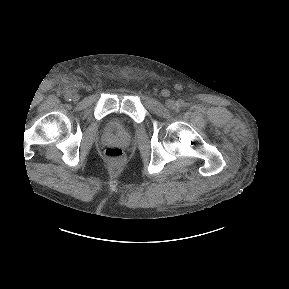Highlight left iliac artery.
Wrapping results in <instances>:
<instances>
[{
  "instance_id": "obj_1",
  "label": "left iliac artery",
  "mask_w": 289,
  "mask_h": 289,
  "mask_svg": "<svg viewBox=\"0 0 289 289\" xmlns=\"http://www.w3.org/2000/svg\"><path fill=\"white\" fill-rule=\"evenodd\" d=\"M182 104H183L182 101H178V102H177V106H178V107L182 106Z\"/></svg>"
}]
</instances>
